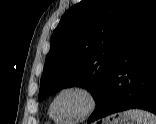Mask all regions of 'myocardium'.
I'll use <instances>...</instances> for the list:
<instances>
[{
	"instance_id": "1",
	"label": "myocardium",
	"mask_w": 156,
	"mask_h": 124,
	"mask_svg": "<svg viewBox=\"0 0 156 124\" xmlns=\"http://www.w3.org/2000/svg\"><path fill=\"white\" fill-rule=\"evenodd\" d=\"M68 91H79V92L84 93L89 100V105H88L87 110L81 116L77 118H73V119H67V120L62 119L63 122L65 123L82 122V121L87 120L90 116L94 114L100 102V98H99L97 91L89 85L77 83V84H70V85H66L62 87L51 99L50 104H49V111L55 118H58L54 114V110H53L55 102L63 93L68 92Z\"/></svg>"
}]
</instances>
